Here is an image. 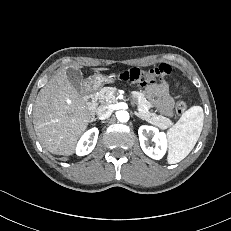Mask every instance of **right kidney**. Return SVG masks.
I'll use <instances>...</instances> for the list:
<instances>
[{
	"label": "right kidney",
	"mask_w": 231,
	"mask_h": 231,
	"mask_svg": "<svg viewBox=\"0 0 231 231\" xmlns=\"http://www.w3.org/2000/svg\"><path fill=\"white\" fill-rule=\"evenodd\" d=\"M99 131L97 128H91L88 130L79 140L76 154L84 156L89 154L95 147L98 139Z\"/></svg>",
	"instance_id": "1"
}]
</instances>
